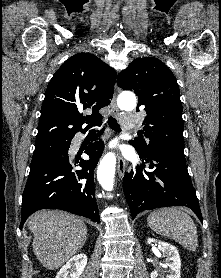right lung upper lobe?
<instances>
[{
  "label": "right lung upper lobe",
  "instance_id": "1",
  "mask_svg": "<svg viewBox=\"0 0 221 278\" xmlns=\"http://www.w3.org/2000/svg\"><path fill=\"white\" fill-rule=\"evenodd\" d=\"M116 76L114 69L93 54L69 58L47 86L35 146L73 138L99 122V110L113 97ZM84 110H92V115L82 116ZM85 122L90 124L82 129Z\"/></svg>",
  "mask_w": 221,
  "mask_h": 278
}]
</instances>
